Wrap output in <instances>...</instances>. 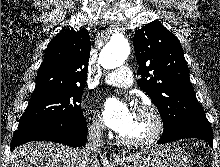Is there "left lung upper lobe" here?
<instances>
[{"label": "left lung upper lobe", "mask_w": 220, "mask_h": 167, "mask_svg": "<svg viewBox=\"0 0 220 167\" xmlns=\"http://www.w3.org/2000/svg\"><path fill=\"white\" fill-rule=\"evenodd\" d=\"M134 49L141 77L138 85L156 105L163 119V134L207 120L190 82L180 41L159 22H151L134 34Z\"/></svg>", "instance_id": "5c2ea615"}]
</instances>
